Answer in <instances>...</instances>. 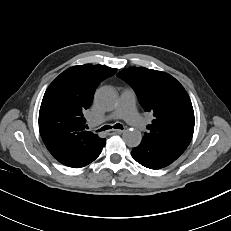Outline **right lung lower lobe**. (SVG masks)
<instances>
[{"mask_svg":"<svg viewBox=\"0 0 231 231\" xmlns=\"http://www.w3.org/2000/svg\"><path fill=\"white\" fill-rule=\"evenodd\" d=\"M105 143L94 153H92L86 160H84L82 163L76 165V166H72L73 168H80V167H84L86 165H88L89 163H91L92 161H94L101 153L102 148L104 147Z\"/></svg>","mask_w":231,"mask_h":231,"instance_id":"1","label":"right lung lower lobe"}]
</instances>
